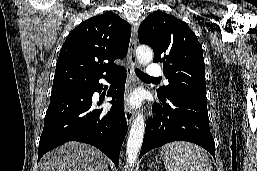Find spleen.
I'll use <instances>...</instances> for the list:
<instances>
[{"label": "spleen", "mask_w": 257, "mask_h": 171, "mask_svg": "<svg viewBox=\"0 0 257 171\" xmlns=\"http://www.w3.org/2000/svg\"><path fill=\"white\" fill-rule=\"evenodd\" d=\"M166 171H213L208 154L189 142H172L161 150Z\"/></svg>", "instance_id": "spleen-1"}]
</instances>
